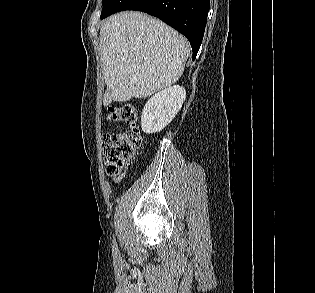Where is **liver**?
Returning a JSON list of instances; mask_svg holds the SVG:
<instances>
[{
	"mask_svg": "<svg viewBox=\"0 0 315 293\" xmlns=\"http://www.w3.org/2000/svg\"><path fill=\"white\" fill-rule=\"evenodd\" d=\"M103 74L112 101L145 98L171 86L183 74L190 54L185 37L162 21L140 12H121L100 29Z\"/></svg>",
	"mask_w": 315,
	"mask_h": 293,
	"instance_id": "liver-1",
	"label": "liver"
}]
</instances>
